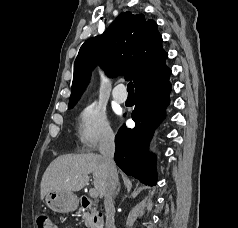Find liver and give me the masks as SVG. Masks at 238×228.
<instances>
[{"label":"liver","instance_id":"liver-1","mask_svg":"<svg viewBox=\"0 0 238 228\" xmlns=\"http://www.w3.org/2000/svg\"><path fill=\"white\" fill-rule=\"evenodd\" d=\"M93 174V184L104 196L108 172L101 155L94 153L62 155L47 167L41 181V199L50 191H80Z\"/></svg>","mask_w":238,"mask_h":228}]
</instances>
